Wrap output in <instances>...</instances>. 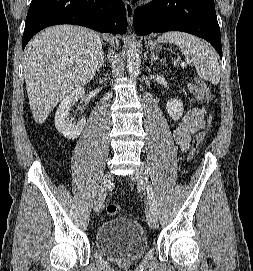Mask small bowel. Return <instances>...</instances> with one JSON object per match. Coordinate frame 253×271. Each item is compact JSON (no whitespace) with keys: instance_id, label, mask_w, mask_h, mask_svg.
I'll return each mask as SVG.
<instances>
[{"instance_id":"small-bowel-1","label":"small bowel","mask_w":253,"mask_h":271,"mask_svg":"<svg viewBox=\"0 0 253 271\" xmlns=\"http://www.w3.org/2000/svg\"><path fill=\"white\" fill-rule=\"evenodd\" d=\"M189 91L195 99L202 98L197 85H189ZM205 126V110L203 108L194 107L187 111L184 118L173 130V139L181 151L186 152L188 150L192 135L203 130Z\"/></svg>"}]
</instances>
